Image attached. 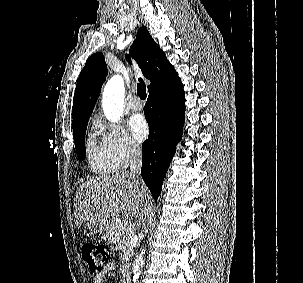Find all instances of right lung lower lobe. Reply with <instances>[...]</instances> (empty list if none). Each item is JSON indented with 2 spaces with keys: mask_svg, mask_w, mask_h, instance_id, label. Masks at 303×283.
I'll use <instances>...</instances> for the list:
<instances>
[{
  "mask_svg": "<svg viewBox=\"0 0 303 283\" xmlns=\"http://www.w3.org/2000/svg\"><path fill=\"white\" fill-rule=\"evenodd\" d=\"M144 110L150 132L142 146L141 176L156 199L160 195L176 145L182 139L185 98L180 78L177 76L149 92Z\"/></svg>",
  "mask_w": 303,
  "mask_h": 283,
  "instance_id": "98d812e1",
  "label": "right lung lower lobe"
}]
</instances>
